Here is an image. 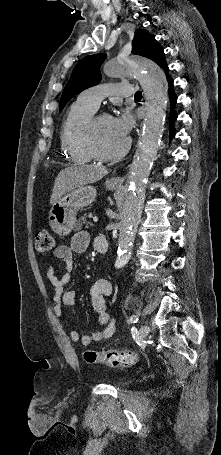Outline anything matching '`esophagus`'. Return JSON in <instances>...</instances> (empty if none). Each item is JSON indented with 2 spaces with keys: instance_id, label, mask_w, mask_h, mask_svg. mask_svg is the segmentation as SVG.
<instances>
[{
  "instance_id": "esophagus-1",
  "label": "esophagus",
  "mask_w": 221,
  "mask_h": 455,
  "mask_svg": "<svg viewBox=\"0 0 221 455\" xmlns=\"http://www.w3.org/2000/svg\"><path fill=\"white\" fill-rule=\"evenodd\" d=\"M125 180V176H117V177H114L113 178V182L115 183H118V184H122Z\"/></svg>"
}]
</instances>
